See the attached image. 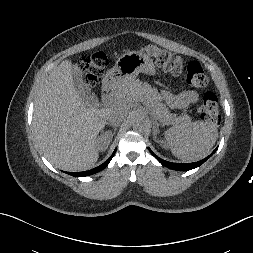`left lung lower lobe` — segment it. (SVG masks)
Returning <instances> with one entry per match:
<instances>
[{"label":"left lung lower lobe","mask_w":253,"mask_h":253,"mask_svg":"<svg viewBox=\"0 0 253 253\" xmlns=\"http://www.w3.org/2000/svg\"><path fill=\"white\" fill-rule=\"evenodd\" d=\"M217 148L206 158L198 161V162H194V163H188V164H178V163H171L168 161H165L161 158H159L158 156H156L151 149L149 148V151L151 152V154L164 166L174 169V170H191L194 169L200 165H202L207 159H209L215 152H216Z\"/></svg>","instance_id":"obj_1"}]
</instances>
